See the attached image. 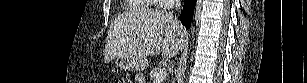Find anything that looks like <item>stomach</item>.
<instances>
[{"label": "stomach", "instance_id": "1", "mask_svg": "<svg viewBox=\"0 0 307 83\" xmlns=\"http://www.w3.org/2000/svg\"><path fill=\"white\" fill-rule=\"evenodd\" d=\"M116 65L122 70H142L147 65L145 58H133L129 56H118L116 58Z\"/></svg>", "mask_w": 307, "mask_h": 83}]
</instances>
